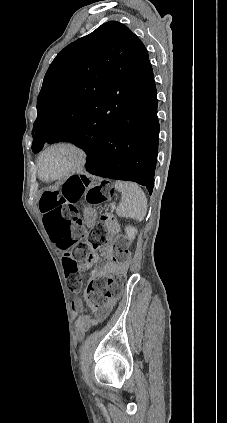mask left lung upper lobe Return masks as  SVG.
<instances>
[{
	"mask_svg": "<svg viewBox=\"0 0 227 423\" xmlns=\"http://www.w3.org/2000/svg\"><path fill=\"white\" fill-rule=\"evenodd\" d=\"M153 84L141 40L122 23H104L51 63L37 99L33 152L94 134L109 112L142 111Z\"/></svg>",
	"mask_w": 227,
	"mask_h": 423,
	"instance_id": "1",
	"label": "left lung upper lobe"
}]
</instances>
